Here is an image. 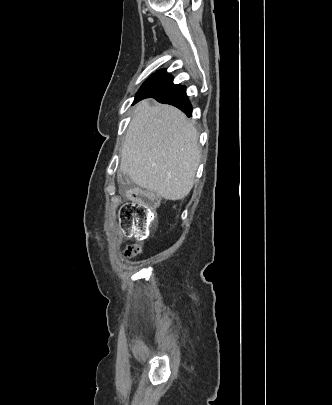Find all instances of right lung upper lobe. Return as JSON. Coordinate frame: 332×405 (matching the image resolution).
Segmentation results:
<instances>
[{
    "label": "right lung upper lobe",
    "instance_id": "right-lung-upper-lobe-1",
    "mask_svg": "<svg viewBox=\"0 0 332 405\" xmlns=\"http://www.w3.org/2000/svg\"><path fill=\"white\" fill-rule=\"evenodd\" d=\"M157 73L170 76L164 69L157 71Z\"/></svg>",
    "mask_w": 332,
    "mask_h": 405
}]
</instances>
